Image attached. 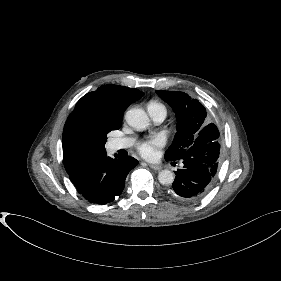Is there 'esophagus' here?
<instances>
[{"instance_id":"34e87169","label":"esophagus","mask_w":281,"mask_h":281,"mask_svg":"<svg viewBox=\"0 0 281 281\" xmlns=\"http://www.w3.org/2000/svg\"><path fill=\"white\" fill-rule=\"evenodd\" d=\"M148 166L154 170H161V166L160 165H156V164H148Z\"/></svg>"}]
</instances>
